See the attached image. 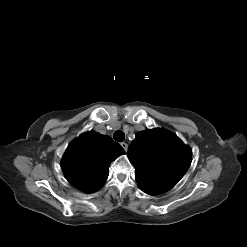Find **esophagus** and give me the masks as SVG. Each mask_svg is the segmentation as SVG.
I'll use <instances>...</instances> for the list:
<instances>
[{"instance_id": "esophagus-1", "label": "esophagus", "mask_w": 247, "mask_h": 247, "mask_svg": "<svg viewBox=\"0 0 247 247\" xmlns=\"http://www.w3.org/2000/svg\"><path fill=\"white\" fill-rule=\"evenodd\" d=\"M121 146H122V148H123L125 151H127V149H128L127 143L122 142V143H121Z\"/></svg>"}]
</instances>
